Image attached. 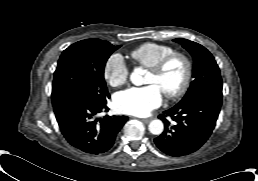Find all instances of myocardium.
Instances as JSON below:
<instances>
[{
    "label": "myocardium",
    "instance_id": "1",
    "mask_svg": "<svg viewBox=\"0 0 258 181\" xmlns=\"http://www.w3.org/2000/svg\"><path fill=\"white\" fill-rule=\"evenodd\" d=\"M175 59H179L183 62L185 71H184L182 82L179 85V87L173 91L164 92V94L171 99L178 98L184 95L188 90L190 86L191 78H192V72H193V64L191 59L183 52L173 51L167 54L166 56H164L163 58H161L157 63H155L153 66L149 68L150 72L159 75L163 73V71L166 69L168 64Z\"/></svg>",
    "mask_w": 258,
    "mask_h": 181
}]
</instances>
